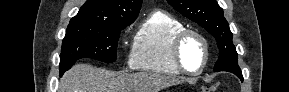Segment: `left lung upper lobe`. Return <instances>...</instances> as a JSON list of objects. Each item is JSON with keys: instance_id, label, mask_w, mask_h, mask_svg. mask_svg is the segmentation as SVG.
Segmentation results:
<instances>
[{"instance_id": "5c2ea615", "label": "left lung upper lobe", "mask_w": 289, "mask_h": 92, "mask_svg": "<svg viewBox=\"0 0 289 92\" xmlns=\"http://www.w3.org/2000/svg\"><path fill=\"white\" fill-rule=\"evenodd\" d=\"M183 16L198 23L215 37L220 50L214 70L242 73L237 62L238 54L232 43V32L224 18L223 9L216 0H167Z\"/></svg>"}]
</instances>
